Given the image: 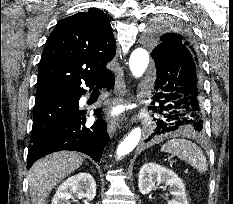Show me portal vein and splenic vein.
<instances>
[{
    "mask_svg": "<svg viewBox=\"0 0 233 204\" xmlns=\"http://www.w3.org/2000/svg\"><path fill=\"white\" fill-rule=\"evenodd\" d=\"M185 170H186V171H188V170H189V168L187 167Z\"/></svg>",
    "mask_w": 233,
    "mask_h": 204,
    "instance_id": "portal-vein-and-splenic-vein-1",
    "label": "portal vein and splenic vein"
}]
</instances>
